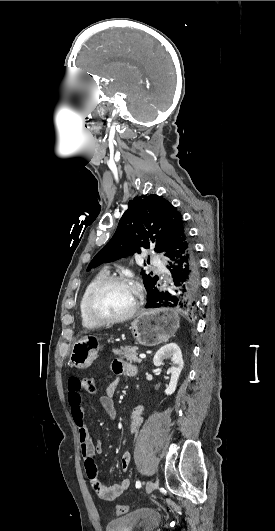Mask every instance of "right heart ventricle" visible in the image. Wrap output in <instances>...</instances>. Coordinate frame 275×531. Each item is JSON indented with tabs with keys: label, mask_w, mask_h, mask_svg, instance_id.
<instances>
[{
	"label": "right heart ventricle",
	"mask_w": 275,
	"mask_h": 531,
	"mask_svg": "<svg viewBox=\"0 0 275 531\" xmlns=\"http://www.w3.org/2000/svg\"><path fill=\"white\" fill-rule=\"evenodd\" d=\"M105 276H106L105 272H101L98 275H96L95 278L86 286V288L84 289V292H83V294H82V296L80 298V301H79V313H80L81 322H82L83 326L86 327V328L95 329V328H97L99 326L98 324H95V323H93L92 321H90L89 319L86 318V316L84 314L83 306H84L85 298L88 295L89 291L92 289V287L96 283H98Z\"/></svg>",
	"instance_id": "1"
}]
</instances>
